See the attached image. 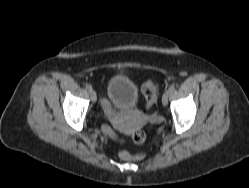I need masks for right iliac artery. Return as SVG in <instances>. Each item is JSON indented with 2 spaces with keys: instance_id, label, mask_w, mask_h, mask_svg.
Listing matches in <instances>:
<instances>
[{
  "instance_id": "82829eb1",
  "label": "right iliac artery",
  "mask_w": 249,
  "mask_h": 188,
  "mask_svg": "<svg viewBox=\"0 0 249 188\" xmlns=\"http://www.w3.org/2000/svg\"><path fill=\"white\" fill-rule=\"evenodd\" d=\"M86 89H87L88 91H91V90H92V86H91L90 84H86Z\"/></svg>"
}]
</instances>
